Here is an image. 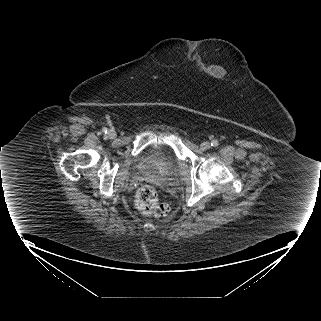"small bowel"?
Instances as JSON below:
<instances>
[{
  "label": "small bowel",
  "instance_id": "small-bowel-1",
  "mask_svg": "<svg viewBox=\"0 0 321 321\" xmlns=\"http://www.w3.org/2000/svg\"><path fill=\"white\" fill-rule=\"evenodd\" d=\"M209 73L212 75H220L223 73V70L220 67L212 66L209 68Z\"/></svg>",
  "mask_w": 321,
  "mask_h": 321
}]
</instances>
